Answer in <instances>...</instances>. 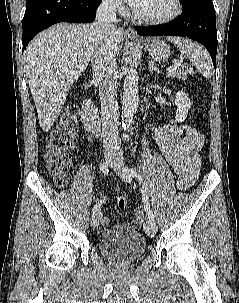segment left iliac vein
I'll return each instance as SVG.
<instances>
[{
    "label": "left iliac vein",
    "instance_id": "1",
    "mask_svg": "<svg viewBox=\"0 0 239 303\" xmlns=\"http://www.w3.org/2000/svg\"><path fill=\"white\" fill-rule=\"evenodd\" d=\"M114 169L118 176L125 182L130 183L133 177L132 169L126 167L119 158H116ZM144 230L146 234L153 237L157 232V225L153 220H146L144 223Z\"/></svg>",
    "mask_w": 239,
    "mask_h": 303
}]
</instances>
